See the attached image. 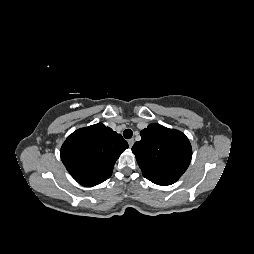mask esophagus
<instances>
[{
  "label": "esophagus",
  "mask_w": 254,
  "mask_h": 254,
  "mask_svg": "<svg viewBox=\"0 0 254 254\" xmlns=\"http://www.w3.org/2000/svg\"><path fill=\"white\" fill-rule=\"evenodd\" d=\"M128 144H129V147L131 148L133 146V144H134V139L133 138L129 139L128 140Z\"/></svg>",
  "instance_id": "34e87169"
}]
</instances>
